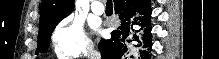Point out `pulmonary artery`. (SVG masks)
Masks as SVG:
<instances>
[{"instance_id": "pulmonary-artery-1", "label": "pulmonary artery", "mask_w": 219, "mask_h": 59, "mask_svg": "<svg viewBox=\"0 0 219 59\" xmlns=\"http://www.w3.org/2000/svg\"><path fill=\"white\" fill-rule=\"evenodd\" d=\"M91 10L93 13H95L96 15H102L105 12V7L103 5V2L98 0V1H94L91 5Z\"/></svg>"}]
</instances>
